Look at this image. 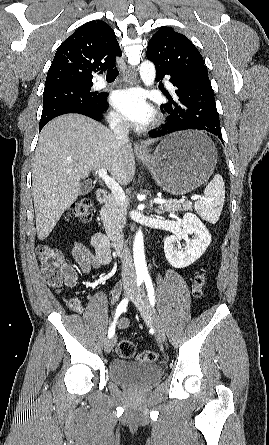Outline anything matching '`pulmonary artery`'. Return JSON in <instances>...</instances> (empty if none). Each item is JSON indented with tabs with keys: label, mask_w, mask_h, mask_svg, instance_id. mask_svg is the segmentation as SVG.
<instances>
[{
	"label": "pulmonary artery",
	"mask_w": 269,
	"mask_h": 445,
	"mask_svg": "<svg viewBox=\"0 0 269 445\" xmlns=\"http://www.w3.org/2000/svg\"><path fill=\"white\" fill-rule=\"evenodd\" d=\"M166 85H167L168 88L173 89V85H172L169 81H166ZM94 86H95V88H97V89H99V88H103V87L107 86V82H106L105 80H103V79H100V80H98V81L95 83Z\"/></svg>",
	"instance_id": "e3ab8cb5"
}]
</instances>
